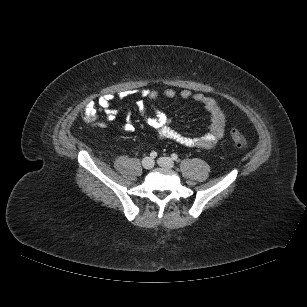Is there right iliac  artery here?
I'll list each match as a JSON object with an SVG mask.
<instances>
[{
	"instance_id": "1",
	"label": "right iliac artery",
	"mask_w": 307,
	"mask_h": 307,
	"mask_svg": "<svg viewBox=\"0 0 307 307\" xmlns=\"http://www.w3.org/2000/svg\"><path fill=\"white\" fill-rule=\"evenodd\" d=\"M156 157H157V152L152 151V152L150 153V158H151V159H155Z\"/></svg>"
}]
</instances>
